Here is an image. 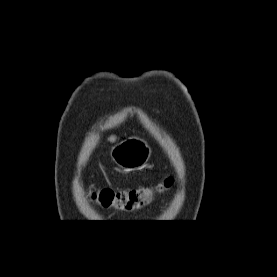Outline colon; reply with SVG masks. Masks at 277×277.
Instances as JSON below:
<instances>
[{"label":"colon","mask_w":277,"mask_h":277,"mask_svg":"<svg viewBox=\"0 0 277 277\" xmlns=\"http://www.w3.org/2000/svg\"><path fill=\"white\" fill-rule=\"evenodd\" d=\"M170 183L165 181L155 189L137 188L129 190L100 189L92 193V197L105 208H117L120 210H138L146 206L155 191H163Z\"/></svg>","instance_id":"colon-1"}]
</instances>
